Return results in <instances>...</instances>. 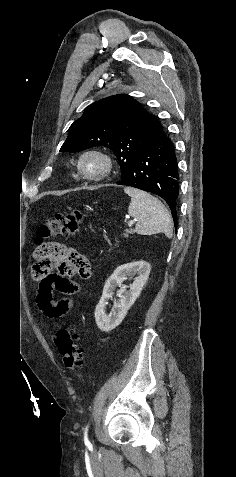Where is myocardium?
<instances>
[{
	"label": "myocardium",
	"instance_id": "myocardium-1",
	"mask_svg": "<svg viewBox=\"0 0 236 477\" xmlns=\"http://www.w3.org/2000/svg\"><path fill=\"white\" fill-rule=\"evenodd\" d=\"M90 156L97 157L103 162L102 170L96 174H86L82 169L83 161ZM112 169H113V161L111 157L108 154L97 149H90V150L84 151L79 156L77 160V164H76L77 174L84 180H88V181L102 180L111 173Z\"/></svg>",
	"mask_w": 236,
	"mask_h": 477
}]
</instances>
